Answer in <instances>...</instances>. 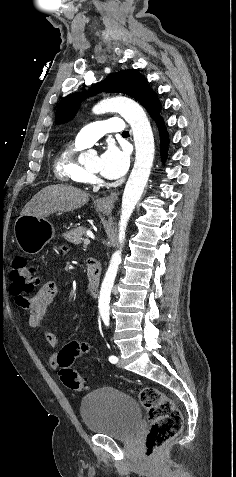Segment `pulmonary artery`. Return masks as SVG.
I'll use <instances>...</instances> for the list:
<instances>
[{"mask_svg": "<svg viewBox=\"0 0 236 477\" xmlns=\"http://www.w3.org/2000/svg\"><path fill=\"white\" fill-rule=\"evenodd\" d=\"M124 131H126V128L122 119L109 118L106 120L91 123L82 128L78 132L75 141L78 144L90 146L105 133H123Z\"/></svg>", "mask_w": 236, "mask_h": 477, "instance_id": "pulmonary-artery-1", "label": "pulmonary artery"}]
</instances>
